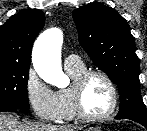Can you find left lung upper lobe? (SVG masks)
<instances>
[{
    "label": "left lung upper lobe",
    "mask_w": 147,
    "mask_h": 131,
    "mask_svg": "<svg viewBox=\"0 0 147 131\" xmlns=\"http://www.w3.org/2000/svg\"><path fill=\"white\" fill-rule=\"evenodd\" d=\"M72 15L81 46L118 87L120 111L116 118L147 122L140 93L139 58L127 21L100 2L82 6Z\"/></svg>",
    "instance_id": "5c2ea615"
}]
</instances>
